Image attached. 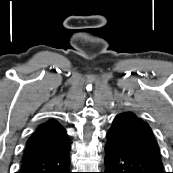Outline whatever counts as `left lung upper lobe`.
Returning a JSON list of instances; mask_svg holds the SVG:
<instances>
[{"mask_svg":"<svg viewBox=\"0 0 173 173\" xmlns=\"http://www.w3.org/2000/svg\"><path fill=\"white\" fill-rule=\"evenodd\" d=\"M109 144L161 160L160 150L149 125L132 112L117 115L107 132Z\"/></svg>","mask_w":173,"mask_h":173,"instance_id":"5c2ea615","label":"left lung upper lobe"}]
</instances>
